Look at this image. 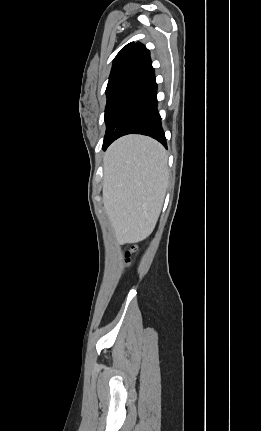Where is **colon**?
I'll use <instances>...</instances> for the list:
<instances>
[{"label": "colon", "mask_w": 261, "mask_h": 431, "mask_svg": "<svg viewBox=\"0 0 261 431\" xmlns=\"http://www.w3.org/2000/svg\"><path fill=\"white\" fill-rule=\"evenodd\" d=\"M135 247L134 246H130L127 250H126V252H125V258H126V261H131L132 260V255H133V253L135 252Z\"/></svg>", "instance_id": "obj_1"}]
</instances>
